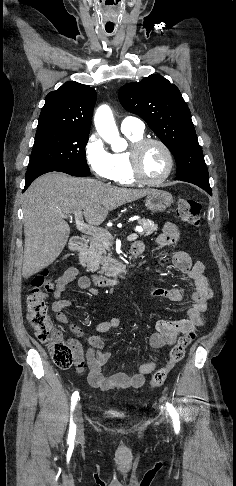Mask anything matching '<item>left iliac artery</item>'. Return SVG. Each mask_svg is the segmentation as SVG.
<instances>
[{"label": "left iliac artery", "instance_id": "obj_1", "mask_svg": "<svg viewBox=\"0 0 236 486\" xmlns=\"http://www.w3.org/2000/svg\"><path fill=\"white\" fill-rule=\"evenodd\" d=\"M166 407H167V410L169 411L172 419H173V425H174V429L176 432H178L180 430V421H179V416L175 410V408L170 404V403H166Z\"/></svg>", "mask_w": 236, "mask_h": 486}]
</instances>
